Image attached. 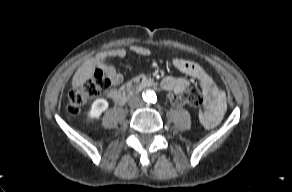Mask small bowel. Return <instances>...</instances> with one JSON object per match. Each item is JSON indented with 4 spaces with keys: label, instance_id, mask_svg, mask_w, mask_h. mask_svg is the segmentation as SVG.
Masks as SVG:
<instances>
[{
    "label": "small bowel",
    "instance_id": "small-bowel-1",
    "mask_svg": "<svg viewBox=\"0 0 292 192\" xmlns=\"http://www.w3.org/2000/svg\"><path fill=\"white\" fill-rule=\"evenodd\" d=\"M129 52L139 56H149L151 53L150 49L143 46H132ZM126 54L127 50L124 48L112 49L97 62L98 68L102 69L111 80L112 87L108 92V96L118 103H121L123 76L109 63L108 59L123 58ZM172 64L178 71L196 79L200 83L205 97V105L199 111V120L206 128L216 126L222 119L227 107L225 92L198 63L183 58H174ZM161 85L174 95L181 94L189 88V82L185 78L174 76H166Z\"/></svg>",
    "mask_w": 292,
    "mask_h": 192
}]
</instances>
